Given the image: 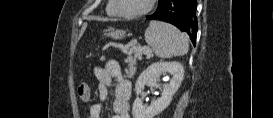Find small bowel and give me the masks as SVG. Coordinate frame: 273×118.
<instances>
[{"mask_svg":"<svg viewBox=\"0 0 273 118\" xmlns=\"http://www.w3.org/2000/svg\"><path fill=\"white\" fill-rule=\"evenodd\" d=\"M95 76L98 81V94L101 102L108 99L109 88L114 86L113 118H130L132 85L124 77L119 65L114 61H109L103 67L98 66L95 68ZM80 98L86 103L91 101L89 88L88 96ZM102 108V103H93L90 106V118H100Z\"/></svg>","mask_w":273,"mask_h":118,"instance_id":"obj_1","label":"small bowel"}]
</instances>
